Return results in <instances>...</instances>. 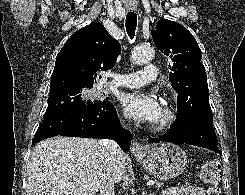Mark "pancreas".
Returning a JSON list of instances; mask_svg holds the SVG:
<instances>
[{
  "mask_svg": "<svg viewBox=\"0 0 245 195\" xmlns=\"http://www.w3.org/2000/svg\"><path fill=\"white\" fill-rule=\"evenodd\" d=\"M156 187H157V188H160V187H162V184L156 183Z\"/></svg>",
  "mask_w": 245,
  "mask_h": 195,
  "instance_id": "1",
  "label": "pancreas"
}]
</instances>
